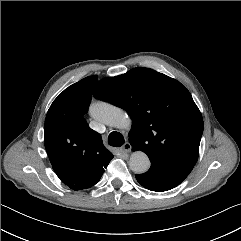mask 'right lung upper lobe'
Masks as SVG:
<instances>
[{
    "instance_id": "cb5924a9",
    "label": "right lung upper lobe",
    "mask_w": 241,
    "mask_h": 241,
    "mask_svg": "<svg viewBox=\"0 0 241 241\" xmlns=\"http://www.w3.org/2000/svg\"><path fill=\"white\" fill-rule=\"evenodd\" d=\"M96 83L97 76L86 77L65 89L50 106L44 137L52 166L103 170L113 158L101 135L90 129L84 119Z\"/></svg>"
}]
</instances>
